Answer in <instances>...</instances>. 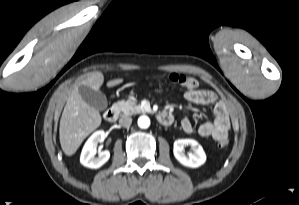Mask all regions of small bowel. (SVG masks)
Wrapping results in <instances>:
<instances>
[{"label":"small bowel","instance_id":"c3829d8e","mask_svg":"<svg viewBox=\"0 0 299 205\" xmlns=\"http://www.w3.org/2000/svg\"><path fill=\"white\" fill-rule=\"evenodd\" d=\"M184 98L198 105H214L213 120L207 121L198 127V134L201 137H211L216 141L227 138L230 129V121L225 104L218 101L216 94L210 90H187ZM181 127L187 134L194 131V126L190 119L184 118L181 121Z\"/></svg>","mask_w":299,"mask_h":205}]
</instances>
